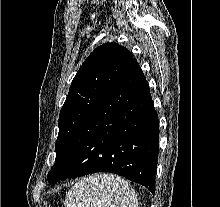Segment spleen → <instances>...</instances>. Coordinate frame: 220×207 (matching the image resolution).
<instances>
[{"label":"spleen","mask_w":220,"mask_h":207,"mask_svg":"<svg viewBox=\"0 0 220 207\" xmlns=\"http://www.w3.org/2000/svg\"><path fill=\"white\" fill-rule=\"evenodd\" d=\"M65 207H138V199L123 178L96 174L83 178L71 188Z\"/></svg>","instance_id":"3e777b00"}]
</instances>
